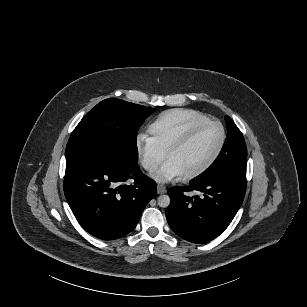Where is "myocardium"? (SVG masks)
<instances>
[{
	"mask_svg": "<svg viewBox=\"0 0 307 307\" xmlns=\"http://www.w3.org/2000/svg\"><path fill=\"white\" fill-rule=\"evenodd\" d=\"M211 125H220L223 129V139L222 142L219 146V148L217 149V151L215 152V154L211 157V159L204 164L202 167H200L199 169H197L196 171H193L191 173H188L186 175L183 176V179L185 180H190L196 177H199L203 174H205L207 171H209L215 164L216 162L219 160V158L221 157L227 142H228V129L226 127V125L221 122V121H208L202 125H199L198 127L194 128L192 131H190L186 136H184L182 139L178 140L177 142H175L174 144H172L165 153V159L168 161L169 157L185 148L187 145H189L204 129H206L207 127L211 126Z\"/></svg>",
	"mask_w": 307,
	"mask_h": 307,
	"instance_id": "1",
	"label": "myocardium"
}]
</instances>
